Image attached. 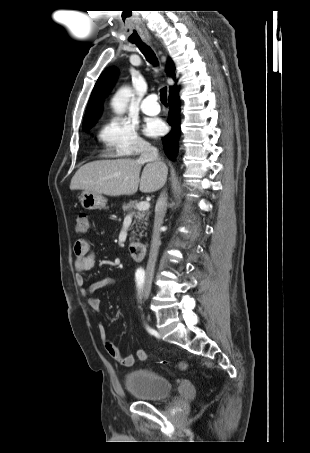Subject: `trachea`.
<instances>
[{
	"label": "trachea",
	"instance_id": "trachea-1",
	"mask_svg": "<svg viewBox=\"0 0 310 453\" xmlns=\"http://www.w3.org/2000/svg\"><path fill=\"white\" fill-rule=\"evenodd\" d=\"M133 43H135L137 45V47L143 53V55L145 56V58L147 59L148 62L152 63L153 65L158 64L155 53L148 45L143 43L141 40L134 41ZM160 100L163 104H167V88L166 87L162 88L160 91Z\"/></svg>",
	"mask_w": 310,
	"mask_h": 453
}]
</instances>
